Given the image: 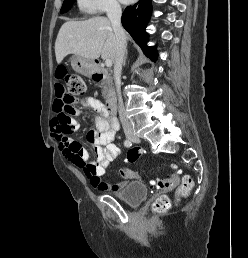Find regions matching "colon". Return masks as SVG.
I'll return each mask as SVG.
<instances>
[{"label": "colon", "instance_id": "5ec220e1", "mask_svg": "<svg viewBox=\"0 0 248 258\" xmlns=\"http://www.w3.org/2000/svg\"><path fill=\"white\" fill-rule=\"evenodd\" d=\"M67 91L66 94L56 99L55 102V112L56 116L54 122L57 129L62 134H68L73 131L71 124V114L73 108L71 104L75 101L77 96L83 95L86 90L85 82L83 78L79 75H68L65 77ZM144 155V146L142 144H137L136 146H131V151L128 152L126 162L133 163L138 157ZM86 176L92 175V169H85ZM179 183V174L176 170L171 172L165 177L157 178L153 181V186L157 190L165 191L175 188ZM193 187V179L189 176H185L182 179V184L178 188L177 195L181 197H186ZM170 207V200L166 196H160L153 203V209L156 212H164Z\"/></svg>", "mask_w": 248, "mask_h": 258}]
</instances>
